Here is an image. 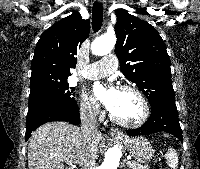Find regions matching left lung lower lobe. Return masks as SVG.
I'll use <instances>...</instances> for the list:
<instances>
[{"label": "left lung lower lobe", "mask_w": 200, "mask_h": 169, "mask_svg": "<svg viewBox=\"0 0 200 169\" xmlns=\"http://www.w3.org/2000/svg\"><path fill=\"white\" fill-rule=\"evenodd\" d=\"M161 131L173 134L183 141L175 102L158 101L151 105V116L146 123L141 128L128 130L127 134L131 136L149 135Z\"/></svg>", "instance_id": "obj_1"}]
</instances>
